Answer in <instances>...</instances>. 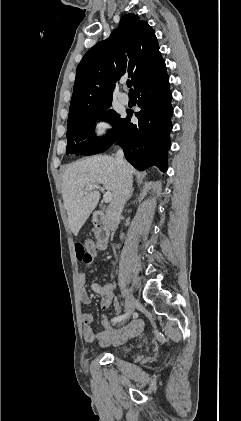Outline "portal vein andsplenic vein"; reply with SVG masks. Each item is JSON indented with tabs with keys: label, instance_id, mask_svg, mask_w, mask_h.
Returning a JSON list of instances; mask_svg holds the SVG:
<instances>
[{
	"label": "portal vein and splenic vein",
	"instance_id": "obj_1",
	"mask_svg": "<svg viewBox=\"0 0 241 421\" xmlns=\"http://www.w3.org/2000/svg\"><path fill=\"white\" fill-rule=\"evenodd\" d=\"M95 189H97V190L99 189L102 192H104V189L101 186H99L97 184H93V185L88 186L84 191H81L80 192V195H83L87 191H91V190H95ZM111 200H112V194H111V192H108V191L105 192L104 195H103V201L105 203H109Z\"/></svg>",
	"mask_w": 241,
	"mask_h": 421
}]
</instances>
